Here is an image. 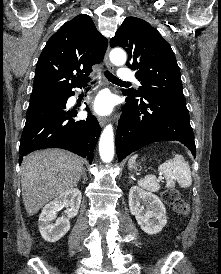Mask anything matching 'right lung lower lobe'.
I'll return each instance as SVG.
<instances>
[{
    "instance_id": "right-lung-lower-lobe-1",
    "label": "right lung lower lobe",
    "mask_w": 221,
    "mask_h": 274,
    "mask_svg": "<svg viewBox=\"0 0 221 274\" xmlns=\"http://www.w3.org/2000/svg\"><path fill=\"white\" fill-rule=\"evenodd\" d=\"M72 95L74 92L70 90L61 97L29 104L20 140L19 163L30 152L51 147L69 150L92 163L101 128L87 107V119H73L77 111L66 107Z\"/></svg>"
}]
</instances>
